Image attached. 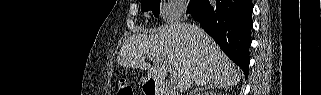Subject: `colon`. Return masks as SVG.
<instances>
[{
    "label": "colon",
    "mask_w": 321,
    "mask_h": 95,
    "mask_svg": "<svg viewBox=\"0 0 321 95\" xmlns=\"http://www.w3.org/2000/svg\"><path fill=\"white\" fill-rule=\"evenodd\" d=\"M118 95H134L131 85L126 80H121L119 82Z\"/></svg>",
    "instance_id": "obj_1"
}]
</instances>
